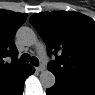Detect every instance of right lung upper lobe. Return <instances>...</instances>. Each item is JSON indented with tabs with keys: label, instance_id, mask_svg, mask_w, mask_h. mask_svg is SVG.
I'll use <instances>...</instances> for the list:
<instances>
[{
	"label": "right lung upper lobe",
	"instance_id": "right-lung-upper-lobe-1",
	"mask_svg": "<svg viewBox=\"0 0 95 95\" xmlns=\"http://www.w3.org/2000/svg\"><path fill=\"white\" fill-rule=\"evenodd\" d=\"M27 14L0 10V95H10L25 80L31 65L18 60L14 44L17 29ZM10 60L9 62H6Z\"/></svg>",
	"mask_w": 95,
	"mask_h": 95
}]
</instances>
